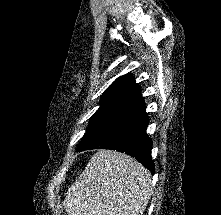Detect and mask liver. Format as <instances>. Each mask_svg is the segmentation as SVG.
Listing matches in <instances>:
<instances>
[{"label": "liver", "instance_id": "obj_1", "mask_svg": "<svg viewBox=\"0 0 221 215\" xmlns=\"http://www.w3.org/2000/svg\"><path fill=\"white\" fill-rule=\"evenodd\" d=\"M150 174L134 158L99 150L68 189V215H143L150 199Z\"/></svg>", "mask_w": 221, "mask_h": 215}]
</instances>
